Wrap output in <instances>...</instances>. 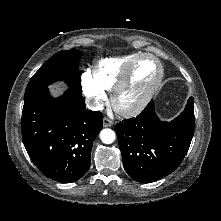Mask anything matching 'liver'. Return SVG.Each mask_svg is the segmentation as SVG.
I'll list each match as a JSON object with an SVG mask.
<instances>
[{"instance_id": "obj_1", "label": "liver", "mask_w": 221, "mask_h": 221, "mask_svg": "<svg viewBox=\"0 0 221 221\" xmlns=\"http://www.w3.org/2000/svg\"><path fill=\"white\" fill-rule=\"evenodd\" d=\"M52 88H53V90H56V91H60L62 89V87L60 85H55Z\"/></svg>"}]
</instances>
